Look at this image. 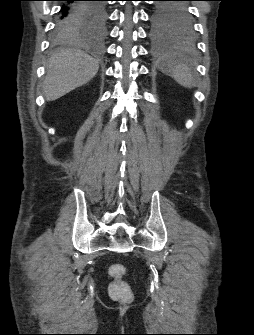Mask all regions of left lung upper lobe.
<instances>
[{
    "mask_svg": "<svg viewBox=\"0 0 254 335\" xmlns=\"http://www.w3.org/2000/svg\"><path fill=\"white\" fill-rule=\"evenodd\" d=\"M159 1L152 14V30L155 36L189 32L192 29L191 14L187 0Z\"/></svg>",
    "mask_w": 254,
    "mask_h": 335,
    "instance_id": "left-lung-upper-lobe-1",
    "label": "left lung upper lobe"
}]
</instances>
